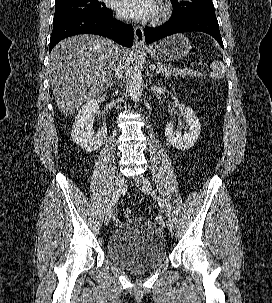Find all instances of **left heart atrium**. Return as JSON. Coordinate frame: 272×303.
I'll return each mask as SVG.
<instances>
[{
  "instance_id": "39dd6f15",
  "label": "left heart atrium",
  "mask_w": 272,
  "mask_h": 303,
  "mask_svg": "<svg viewBox=\"0 0 272 303\" xmlns=\"http://www.w3.org/2000/svg\"><path fill=\"white\" fill-rule=\"evenodd\" d=\"M158 0H118L116 10L121 17L148 21L159 13Z\"/></svg>"
}]
</instances>
